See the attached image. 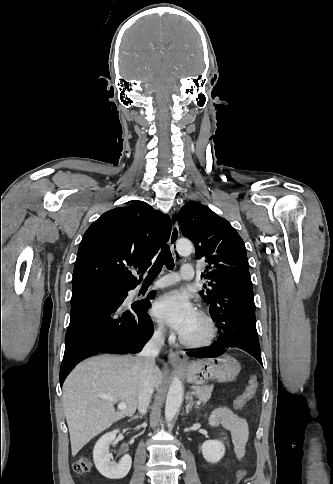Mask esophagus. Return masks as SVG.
Returning <instances> with one entry per match:
<instances>
[{
    "label": "esophagus",
    "instance_id": "34e87169",
    "mask_svg": "<svg viewBox=\"0 0 333 484\" xmlns=\"http://www.w3.org/2000/svg\"><path fill=\"white\" fill-rule=\"evenodd\" d=\"M179 236H180V230H179L178 224L176 221H173L172 230L169 238V244L175 256L176 254H175L174 248ZM168 361L172 366H180L185 364V362L179 357V355L173 351H170L168 355Z\"/></svg>",
    "mask_w": 333,
    "mask_h": 484
}]
</instances>
